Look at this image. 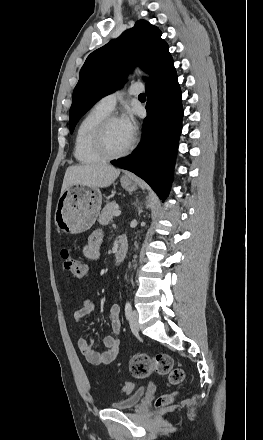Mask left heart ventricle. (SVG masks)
<instances>
[{"label":"left heart ventricle","instance_id":"left-heart-ventricle-1","mask_svg":"<svg viewBox=\"0 0 263 440\" xmlns=\"http://www.w3.org/2000/svg\"><path fill=\"white\" fill-rule=\"evenodd\" d=\"M107 146L112 152L122 151L131 141L125 133L120 120L113 121L106 133Z\"/></svg>","mask_w":263,"mask_h":440}]
</instances>
